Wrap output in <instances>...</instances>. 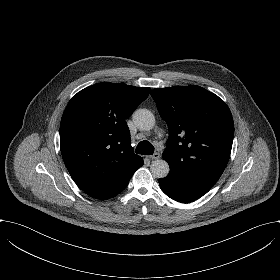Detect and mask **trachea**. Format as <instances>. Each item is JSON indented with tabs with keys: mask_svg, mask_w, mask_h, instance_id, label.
<instances>
[{
	"mask_svg": "<svg viewBox=\"0 0 280 280\" xmlns=\"http://www.w3.org/2000/svg\"><path fill=\"white\" fill-rule=\"evenodd\" d=\"M137 154L152 155L154 153V146L147 140L138 143L136 147Z\"/></svg>",
	"mask_w": 280,
	"mask_h": 280,
	"instance_id": "3493384b",
	"label": "trachea"
}]
</instances>
